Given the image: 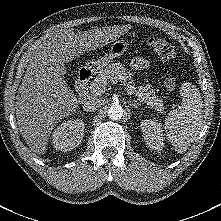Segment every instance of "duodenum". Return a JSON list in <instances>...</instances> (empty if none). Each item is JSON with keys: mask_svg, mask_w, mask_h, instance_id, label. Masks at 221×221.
<instances>
[{"mask_svg": "<svg viewBox=\"0 0 221 221\" xmlns=\"http://www.w3.org/2000/svg\"><path fill=\"white\" fill-rule=\"evenodd\" d=\"M92 79V72L88 68H82L79 71L76 88L79 94V102L82 104L88 94L89 83Z\"/></svg>", "mask_w": 221, "mask_h": 221, "instance_id": "1", "label": "duodenum"}]
</instances>
